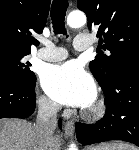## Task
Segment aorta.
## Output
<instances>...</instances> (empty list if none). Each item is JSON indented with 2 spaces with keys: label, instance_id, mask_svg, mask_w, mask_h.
Wrapping results in <instances>:
<instances>
[{
  "label": "aorta",
  "instance_id": "1",
  "mask_svg": "<svg viewBox=\"0 0 139 150\" xmlns=\"http://www.w3.org/2000/svg\"><path fill=\"white\" fill-rule=\"evenodd\" d=\"M86 15L82 11H73L67 17V24L71 28H79L86 23ZM68 150H78L75 144H71Z\"/></svg>",
  "mask_w": 139,
  "mask_h": 150
}]
</instances>
